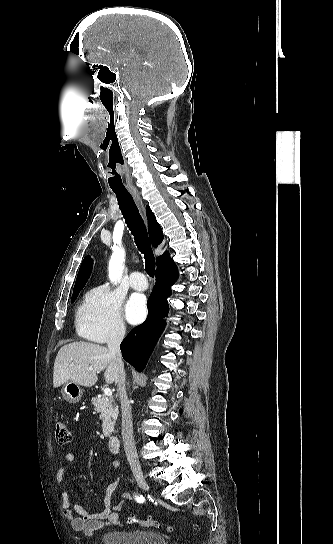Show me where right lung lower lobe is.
Returning <instances> with one entry per match:
<instances>
[{
    "mask_svg": "<svg viewBox=\"0 0 333 544\" xmlns=\"http://www.w3.org/2000/svg\"><path fill=\"white\" fill-rule=\"evenodd\" d=\"M178 278L174 264L156 271V284L148 299V317L136 327L121 343L123 358L141 372L149 359L165 327L163 317L168 313L167 298L171 295V286Z\"/></svg>",
    "mask_w": 333,
    "mask_h": 544,
    "instance_id": "1",
    "label": "right lung lower lobe"
}]
</instances>
